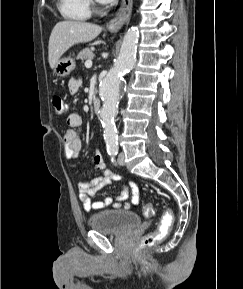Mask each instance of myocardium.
<instances>
[{
    "mask_svg": "<svg viewBox=\"0 0 243 289\" xmlns=\"http://www.w3.org/2000/svg\"><path fill=\"white\" fill-rule=\"evenodd\" d=\"M91 0H89V2H90ZM92 5H93V9L95 10V11H98L99 10V8H98V6L95 4V3H92Z\"/></svg>",
    "mask_w": 243,
    "mask_h": 289,
    "instance_id": "f54148a6",
    "label": "myocardium"
}]
</instances>
